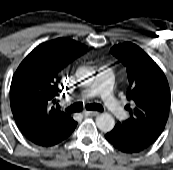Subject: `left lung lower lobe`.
Wrapping results in <instances>:
<instances>
[{
    "instance_id": "left-lung-lower-lobe-1",
    "label": "left lung lower lobe",
    "mask_w": 173,
    "mask_h": 170,
    "mask_svg": "<svg viewBox=\"0 0 173 170\" xmlns=\"http://www.w3.org/2000/svg\"><path fill=\"white\" fill-rule=\"evenodd\" d=\"M105 138L116 149L124 153H139L149 146L139 143L136 139L125 135L122 130L114 129L105 135Z\"/></svg>"
}]
</instances>
